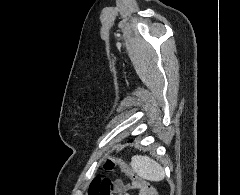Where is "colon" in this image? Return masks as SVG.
Instances as JSON below:
<instances>
[{
    "instance_id": "colon-1",
    "label": "colon",
    "mask_w": 240,
    "mask_h": 195,
    "mask_svg": "<svg viewBox=\"0 0 240 195\" xmlns=\"http://www.w3.org/2000/svg\"><path fill=\"white\" fill-rule=\"evenodd\" d=\"M115 165H119L121 168L125 169V173L129 178L135 180V185L141 188L145 193L149 195H156V191L152 190L150 186L145 184L141 178H138V174L129 167V163L125 162L123 159H115L113 156H109L105 160V168L110 169ZM89 195H127V190L120 182H114L106 177H95L89 187Z\"/></svg>"
}]
</instances>
